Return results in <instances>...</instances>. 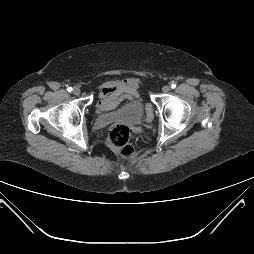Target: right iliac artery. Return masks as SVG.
<instances>
[{"label":"right iliac artery","instance_id":"1","mask_svg":"<svg viewBox=\"0 0 254 254\" xmlns=\"http://www.w3.org/2000/svg\"><path fill=\"white\" fill-rule=\"evenodd\" d=\"M67 90H68V92H71L72 91V87H68Z\"/></svg>","mask_w":254,"mask_h":254}]
</instances>
